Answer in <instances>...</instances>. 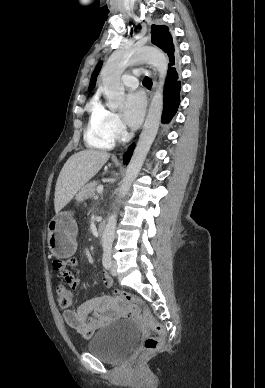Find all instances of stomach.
<instances>
[{
	"mask_svg": "<svg viewBox=\"0 0 265 388\" xmlns=\"http://www.w3.org/2000/svg\"><path fill=\"white\" fill-rule=\"evenodd\" d=\"M77 224L70 212L57 214L48 224V246L60 258L71 256L76 248Z\"/></svg>",
	"mask_w": 265,
	"mask_h": 388,
	"instance_id": "0dacf381",
	"label": "stomach"
}]
</instances>
